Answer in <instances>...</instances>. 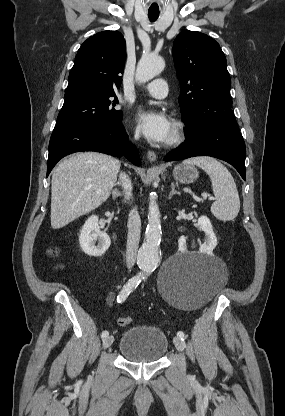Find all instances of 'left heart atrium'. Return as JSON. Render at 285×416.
<instances>
[{
  "label": "left heart atrium",
  "mask_w": 285,
  "mask_h": 416,
  "mask_svg": "<svg viewBox=\"0 0 285 416\" xmlns=\"http://www.w3.org/2000/svg\"><path fill=\"white\" fill-rule=\"evenodd\" d=\"M143 135L155 143H165L172 135L169 116L160 109H140L136 114Z\"/></svg>",
  "instance_id": "obj_1"
}]
</instances>
